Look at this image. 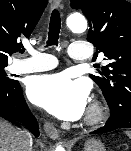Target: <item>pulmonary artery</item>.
I'll list each match as a JSON object with an SVG mask.
<instances>
[{"instance_id":"obj_1","label":"pulmonary artery","mask_w":131,"mask_h":151,"mask_svg":"<svg viewBox=\"0 0 131 151\" xmlns=\"http://www.w3.org/2000/svg\"><path fill=\"white\" fill-rule=\"evenodd\" d=\"M30 58L19 60L12 65L14 73H31L46 71L54 68L57 65V60L54 56L29 50ZM69 56L76 61H87L92 56V50L89 43L84 41L73 42L69 47Z\"/></svg>"}]
</instances>
